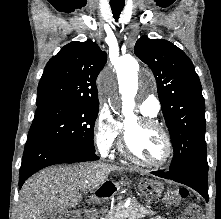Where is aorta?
Returning a JSON list of instances; mask_svg holds the SVG:
<instances>
[{
    "instance_id": "762f6f07",
    "label": "aorta",
    "mask_w": 221,
    "mask_h": 219,
    "mask_svg": "<svg viewBox=\"0 0 221 219\" xmlns=\"http://www.w3.org/2000/svg\"><path fill=\"white\" fill-rule=\"evenodd\" d=\"M117 72H122L128 78H134L137 74L138 63L133 57H126L119 61L116 67ZM101 93L103 97L108 98L109 101L114 102L118 99L115 93V82L111 75L105 74L101 78ZM136 88L132 87L129 92L121 99L122 113L125 117L134 116V95Z\"/></svg>"
}]
</instances>
